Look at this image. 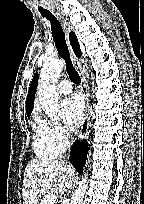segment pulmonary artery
<instances>
[{
	"label": "pulmonary artery",
	"mask_w": 144,
	"mask_h": 204,
	"mask_svg": "<svg viewBox=\"0 0 144 204\" xmlns=\"http://www.w3.org/2000/svg\"><path fill=\"white\" fill-rule=\"evenodd\" d=\"M58 92L67 95L72 92V86L71 83L67 80H63L58 84Z\"/></svg>",
	"instance_id": "1"
}]
</instances>
